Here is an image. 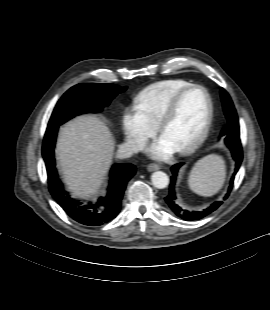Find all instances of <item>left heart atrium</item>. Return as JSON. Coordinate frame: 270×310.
Listing matches in <instances>:
<instances>
[{
    "mask_svg": "<svg viewBox=\"0 0 270 310\" xmlns=\"http://www.w3.org/2000/svg\"><path fill=\"white\" fill-rule=\"evenodd\" d=\"M177 149L168 142L163 136H160L159 139L153 143L150 148L149 152L156 158L160 159H168L170 158Z\"/></svg>",
    "mask_w": 270,
    "mask_h": 310,
    "instance_id": "obj_1",
    "label": "left heart atrium"
}]
</instances>
